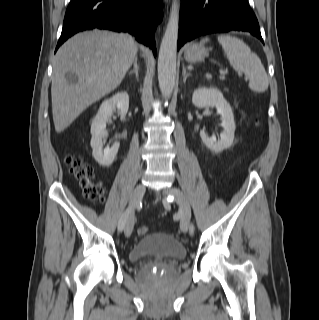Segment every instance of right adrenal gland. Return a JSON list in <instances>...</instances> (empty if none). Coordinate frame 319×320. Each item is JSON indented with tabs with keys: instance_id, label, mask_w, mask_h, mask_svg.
I'll list each match as a JSON object with an SVG mask.
<instances>
[{
	"instance_id": "1",
	"label": "right adrenal gland",
	"mask_w": 319,
	"mask_h": 320,
	"mask_svg": "<svg viewBox=\"0 0 319 320\" xmlns=\"http://www.w3.org/2000/svg\"><path fill=\"white\" fill-rule=\"evenodd\" d=\"M137 61H138V59H137V57H135L134 63H133L134 68H133V70H131V71L129 72V74L135 73L136 77L138 78V70H139V67H138Z\"/></svg>"
}]
</instances>
